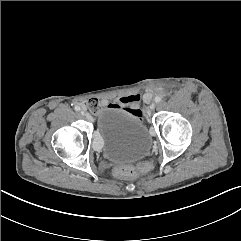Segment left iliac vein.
Returning a JSON list of instances; mask_svg holds the SVG:
<instances>
[{"label": "left iliac vein", "instance_id": "1", "mask_svg": "<svg viewBox=\"0 0 241 241\" xmlns=\"http://www.w3.org/2000/svg\"><path fill=\"white\" fill-rule=\"evenodd\" d=\"M155 107H156V104H155V103H152V104L149 106V109H150V110H154Z\"/></svg>", "mask_w": 241, "mask_h": 241}]
</instances>
